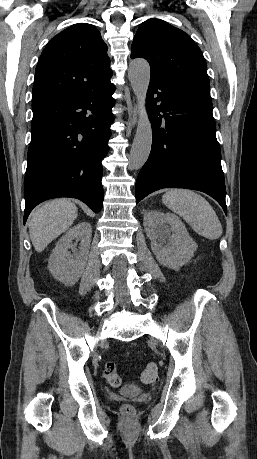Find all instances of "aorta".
Wrapping results in <instances>:
<instances>
[{
    "mask_svg": "<svg viewBox=\"0 0 257 459\" xmlns=\"http://www.w3.org/2000/svg\"><path fill=\"white\" fill-rule=\"evenodd\" d=\"M128 78L139 107V120L129 155V168L140 169L148 159L152 145V127L146 110V93L150 82V66L145 59L129 64Z\"/></svg>",
    "mask_w": 257,
    "mask_h": 459,
    "instance_id": "aorta-1",
    "label": "aorta"
}]
</instances>
